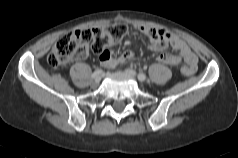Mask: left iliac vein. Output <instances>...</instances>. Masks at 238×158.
Listing matches in <instances>:
<instances>
[{"mask_svg":"<svg viewBox=\"0 0 238 158\" xmlns=\"http://www.w3.org/2000/svg\"><path fill=\"white\" fill-rule=\"evenodd\" d=\"M125 72L131 77H136V72L134 70L126 69Z\"/></svg>","mask_w":238,"mask_h":158,"instance_id":"obj_1","label":"left iliac vein"}]
</instances>
